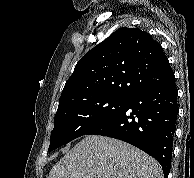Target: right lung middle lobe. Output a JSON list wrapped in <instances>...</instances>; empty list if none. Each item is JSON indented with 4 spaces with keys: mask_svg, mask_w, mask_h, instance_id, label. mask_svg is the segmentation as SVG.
<instances>
[{
    "mask_svg": "<svg viewBox=\"0 0 194 178\" xmlns=\"http://www.w3.org/2000/svg\"><path fill=\"white\" fill-rule=\"evenodd\" d=\"M128 98L98 96L70 103L57 110L48 151L87 134L117 112Z\"/></svg>",
    "mask_w": 194,
    "mask_h": 178,
    "instance_id": "1",
    "label": "right lung middle lobe"
}]
</instances>
